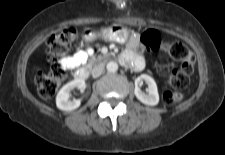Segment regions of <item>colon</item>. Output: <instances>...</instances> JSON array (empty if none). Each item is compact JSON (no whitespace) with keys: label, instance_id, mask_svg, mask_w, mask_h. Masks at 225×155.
Instances as JSON below:
<instances>
[{"label":"colon","instance_id":"obj_1","mask_svg":"<svg viewBox=\"0 0 225 155\" xmlns=\"http://www.w3.org/2000/svg\"><path fill=\"white\" fill-rule=\"evenodd\" d=\"M76 36L77 31L74 28H67L59 33L50 35L46 39L48 52L56 57L66 54L70 50ZM141 41L152 50H162L178 64L168 77L171 89L163 95V101L166 105H175L182 98L180 90L187 86L190 76L194 71L195 60L192 52L186 44L180 41L161 43L159 34L153 30L143 33ZM65 76L66 69L58 62L52 65L49 72L40 73L37 76L40 96L43 98L52 97Z\"/></svg>","mask_w":225,"mask_h":155}]
</instances>
